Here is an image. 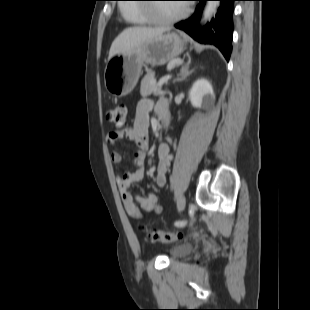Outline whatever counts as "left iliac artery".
Instances as JSON below:
<instances>
[{
  "label": "left iliac artery",
  "instance_id": "left-iliac-artery-1",
  "mask_svg": "<svg viewBox=\"0 0 310 310\" xmlns=\"http://www.w3.org/2000/svg\"><path fill=\"white\" fill-rule=\"evenodd\" d=\"M173 183V181H171ZM187 224V220L185 219H182V220H178L175 222V225L178 226V227H184L186 226Z\"/></svg>",
  "mask_w": 310,
  "mask_h": 310
}]
</instances>
